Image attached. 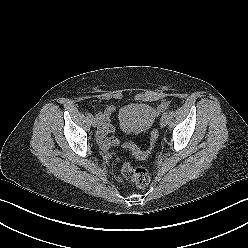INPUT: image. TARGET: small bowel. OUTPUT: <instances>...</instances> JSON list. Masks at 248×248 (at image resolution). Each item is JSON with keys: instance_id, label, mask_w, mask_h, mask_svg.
<instances>
[{"instance_id": "obj_1", "label": "small bowel", "mask_w": 248, "mask_h": 248, "mask_svg": "<svg viewBox=\"0 0 248 248\" xmlns=\"http://www.w3.org/2000/svg\"><path fill=\"white\" fill-rule=\"evenodd\" d=\"M116 108L114 106H108L104 111L97 114L99 126L97 130V140L102 150H107L112 146L120 144V140L115 137H110L109 134L114 132V127L111 124V116L115 113ZM120 120V119H119ZM120 127L126 134L132 131L126 127L120 120Z\"/></svg>"}]
</instances>
